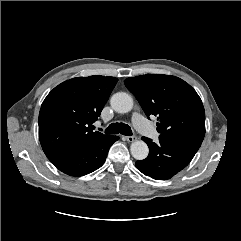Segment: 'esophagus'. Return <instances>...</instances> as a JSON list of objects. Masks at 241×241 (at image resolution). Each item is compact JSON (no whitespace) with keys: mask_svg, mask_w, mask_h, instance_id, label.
Returning a JSON list of instances; mask_svg holds the SVG:
<instances>
[{"mask_svg":"<svg viewBox=\"0 0 241 241\" xmlns=\"http://www.w3.org/2000/svg\"><path fill=\"white\" fill-rule=\"evenodd\" d=\"M125 139L128 142H134L137 138H136V136H125Z\"/></svg>","mask_w":241,"mask_h":241,"instance_id":"1","label":"esophagus"}]
</instances>
